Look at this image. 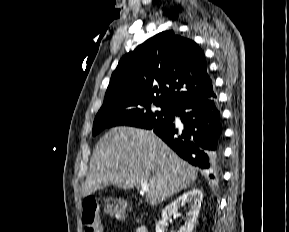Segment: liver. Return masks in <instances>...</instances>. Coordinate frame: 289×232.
Instances as JSON below:
<instances>
[{
	"label": "liver",
	"mask_w": 289,
	"mask_h": 232,
	"mask_svg": "<svg viewBox=\"0 0 289 232\" xmlns=\"http://www.w3.org/2000/svg\"><path fill=\"white\" fill-rule=\"evenodd\" d=\"M196 179V169L152 131L116 127L98 141L82 195L87 197L107 185L132 189L146 184L145 201L153 206L187 189Z\"/></svg>",
	"instance_id": "1"
}]
</instances>
